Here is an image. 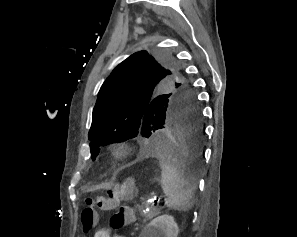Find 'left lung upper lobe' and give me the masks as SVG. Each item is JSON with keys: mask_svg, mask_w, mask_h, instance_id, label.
<instances>
[{"mask_svg": "<svg viewBox=\"0 0 297 237\" xmlns=\"http://www.w3.org/2000/svg\"><path fill=\"white\" fill-rule=\"evenodd\" d=\"M182 100L198 105L193 86L173 55L154 50L129 56L98 93L88 134L92 159L99 154V146L134 138L136 149L141 151L147 141L143 137L150 139L161 119Z\"/></svg>", "mask_w": 297, "mask_h": 237, "instance_id": "left-lung-upper-lobe-1", "label": "left lung upper lobe"}]
</instances>
